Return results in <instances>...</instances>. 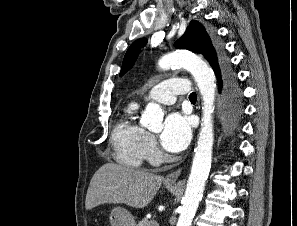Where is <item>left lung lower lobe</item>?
I'll return each mask as SVG.
<instances>
[{
    "mask_svg": "<svg viewBox=\"0 0 297 226\" xmlns=\"http://www.w3.org/2000/svg\"><path fill=\"white\" fill-rule=\"evenodd\" d=\"M219 80V89H221V74L216 73ZM223 77L227 84L228 93L225 100V118L230 128L237 126L239 118L242 116L243 108L241 104V92L235 85V76L227 63L224 65Z\"/></svg>",
    "mask_w": 297,
    "mask_h": 226,
    "instance_id": "0a47b994",
    "label": "left lung lower lobe"
}]
</instances>
